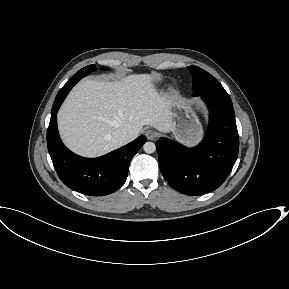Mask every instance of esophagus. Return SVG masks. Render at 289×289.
Returning <instances> with one entry per match:
<instances>
[{
  "label": "esophagus",
  "instance_id": "34e87169",
  "mask_svg": "<svg viewBox=\"0 0 289 289\" xmlns=\"http://www.w3.org/2000/svg\"><path fill=\"white\" fill-rule=\"evenodd\" d=\"M145 135L148 140H154L157 137V133L152 129L146 130Z\"/></svg>",
  "mask_w": 289,
  "mask_h": 289
}]
</instances>
